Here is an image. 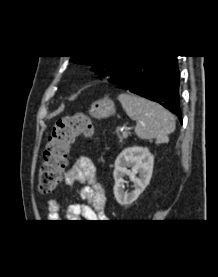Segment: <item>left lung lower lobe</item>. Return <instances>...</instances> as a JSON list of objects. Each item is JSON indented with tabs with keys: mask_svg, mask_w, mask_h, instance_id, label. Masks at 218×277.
<instances>
[{
	"mask_svg": "<svg viewBox=\"0 0 218 277\" xmlns=\"http://www.w3.org/2000/svg\"><path fill=\"white\" fill-rule=\"evenodd\" d=\"M179 78L177 56L139 55L110 76L108 81L160 103L182 123Z\"/></svg>",
	"mask_w": 218,
	"mask_h": 277,
	"instance_id": "1",
	"label": "left lung lower lobe"
}]
</instances>
